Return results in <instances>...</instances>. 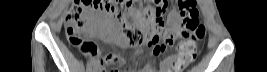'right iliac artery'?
Masks as SVG:
<instances>
[{
	"label": "right iliac artery",
	"mask_w": 267,
	"mask_h": 72,
	"mask_svg": "<svg viewBox=\"0 0 267 72\" xmlns=\"http://www.w3.org/2000/svg\"><path fill=\"white\" fill-rule=\"evenodd\" d=\"M86 71H87V72H92V65H91V64H89V65L87 66Z\"/></svg>",
	"instance_id": "obj_1"
}]
</instances>
